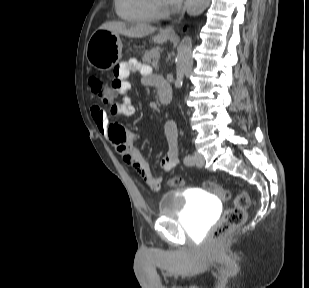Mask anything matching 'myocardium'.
Listing matches in <instances>:
<instances>
[{
    "label": "myocardium",
    "mask_w": 309,
    "mask_h": 288,
    "mask_svg": "<svg viewBox=\"0 0 309 288\" xmlns=\"http://www.w3.org/2000/svg\"><path fill=\"white\" fill-rule=\"evenodd\" d=\"M153 10L157 16H163L168 14V10L162 0H151Z\"/></svg>",
    "instance_id": "1"
}]
</instances>
